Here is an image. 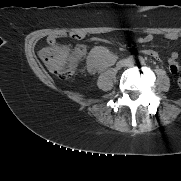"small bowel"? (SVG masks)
<instances>
[{
  "label": "small bowel",
  "instance_id": "c3829d8e",
  "mask_svg": "<svg viewBox=\"0 0 181 181\" xmlns=\"http://www.w3.org/2000/svg\"><path fill=\"white\" fill-rule=\"evenodd\" d=\"M69 37L73 38V39H77V40H81V39H84L85 38V35L84 34H79V33H73V34H69L68 35ZM164 37L168 40H176L178 39L179 37H181V34L179 33H176V32H169V33H166L164 35ZM154 39V36L153 34H146L144 36H141L137 39V42L140 43V44H146V43H150L152 42ZM57 40H58V36L57 35H49L47 37V43L52 46V47H56V48H63V49H67L66 46H60L57 44ZM78 48H81L82 50L81 51H78ZM77 50V56L78 58L81 57L84 53H85V47L83 46H77L73 51H76ZM143 54L155 59V60H159V54L154 51V50H151V49H145L142 51ZM177 58H178V54L177 53H172L171 56L169 57L168 59V64H169V70L172 74H177L180 72L181 70V66L179 65L178 61H177ZM89 69L90 71H95L96 67L93 65V64H89Z\"/></svg>",
  "mask_w": 181,
  "mask_h": 181
}]
</instances>
